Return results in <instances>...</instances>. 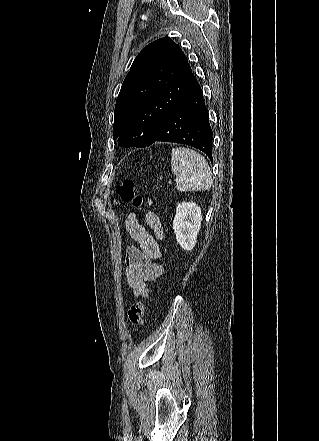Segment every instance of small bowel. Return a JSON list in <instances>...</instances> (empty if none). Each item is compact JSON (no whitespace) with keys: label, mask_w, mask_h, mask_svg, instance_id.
I'll use <instances>...</instances> for the list:
<instances>
[{"label":"small bowel","mask_w":319,"mask_h":441,"mask_svg":"<svg viewBox=\"0 0 319 441\" xmlns=\"http://www.w3.org/2000/svg\"><path fill=\"white\" fill-rule=\"evenodd\" d=\"M144 221L154 235L138 221L134 212L129 213L125 221L126 229L135 243L126 251L125 277L135 297H148L147 282L157 279L163 273L162 267L155 262L162 257L158 244L164 239L162 224L152 211L146 213Z\"/></svg>","instance_id":"small-bowel-1"}]
</instances>
